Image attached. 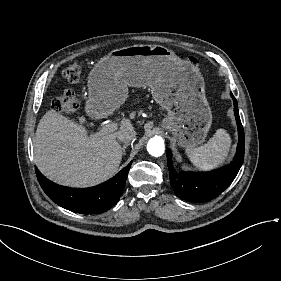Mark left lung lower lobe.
<instances>
[{
    "mask_svg": "<svg viewBox=\"0 0 281 281\" xmlns=\"http://www.w3.org/2000/svg\"><path fill=\"white\" fill-rule=\"evenodd\" d=\"M231 97L234 103L239 141L235 158L230 165L209 173H177L172 166L171 153L170 151L167 152L170 184L179 198L191 202L209 201L221 194L236 177L244 159L245 140L238 112V104L232 93Z\"/></svg>",
    "mask_w": 281,
    "mask_h": 281,
    "instance_id": "0a47b994",
    "label": "left lung lower lobe"
}]
</instances>
